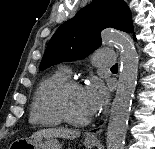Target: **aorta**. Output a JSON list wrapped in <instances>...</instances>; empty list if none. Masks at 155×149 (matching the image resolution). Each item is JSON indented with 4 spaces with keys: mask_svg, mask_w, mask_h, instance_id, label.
Wrapping results in <instances>:
<instances>
[{
    "mask_svg": "<svg viewBox=\"0 0 155 149\" xmlns=\"http://www.w3.org/2000/svg\"><path fill=\"white\" fill-rule=\"evenodd\" d=\"M103 43L117 45L120 49V73L116 95L111 107L107 128V149H123L133 93L138 75V55L129 35L105 30L101 34Z\"/></svg>",
    "mask_w": 155,
    "mask_h": 149,
    "instance_id": "1",
    "label": "aorta"
}]
</instances>
